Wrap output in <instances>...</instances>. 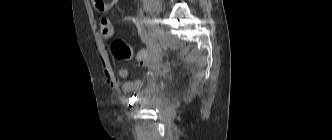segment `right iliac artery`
Listing matches in <instances>:
<instances>
[{"instance_id": "1", "label": "right iliac artery", "mask_w": 332, "mask_h": 140, "mask_svg": "<svg viewBox=\"0 0 332 140\" xmlns=\"http://www.w3.org/2000/svg\"><path fill=\"white\" fill-rule=\"evenodd\" d=\"M142 23L145 25V30H144V32H145V35L147 36L152 21H151V19H149V18H147V17H144V18L142 19Z\"/></svg>"}]
</instances>
